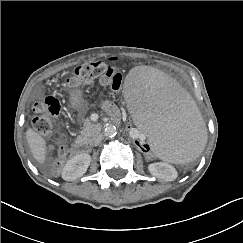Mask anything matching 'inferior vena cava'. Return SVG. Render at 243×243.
Instances as JSON below:
<instances>
[{
    "label": "inferior vena cava",
    "mask_w": 243,
    "mask_h": 243,
    "mask_svg": "<svg viewBox=\"0 0 243 243\" xmlns=\"http://www.w3.org/2000/svg\"><path fill=\"white\" fill-rule=\"evenodd\" d=\"M102 139H103V135L102 134H98V135H96L94 137V139L92 140L91 144L93 146H98L101 143Z\"/></svg>",
    "instance_id": "602c4592"
}]
</instances>
